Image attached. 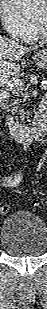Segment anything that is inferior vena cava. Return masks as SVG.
<instances>
[{
	"instance_id": "obj_1",
	"label": "inferior vena cava",
	"mask_w": 47,
	"mask_h": 309,
	"mask_svg": "<svg viewBox=\"0 0 47 309\" xmlns=\"http://www.w3.org/2000/svg\"><path fill=\"white\" fill-rule=\"evenodd\" d=\"M3 96L5 97V98H7V97H9V95L7 94V93H3Z\"/></svg>"
}]
</instances>
